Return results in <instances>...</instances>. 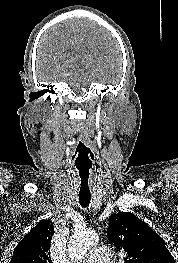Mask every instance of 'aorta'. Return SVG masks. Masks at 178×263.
I'll use <instances>...</instances> for the list:
<instances>
[{"label":"aorta","instance_id":"762f6f07","mask_svg":"<svg viewBox=\"0 0 178 263\" xmlns=\"http://www.w3.org/2000/svg\"><path fill=\"white\" fill-rule=\"evenodd\" d=\"M99 241L93 230H76L69 240L68 253L73 262L80 261L85 254Z\"/></svg>","mask_w":178,"mask_h":263}]
</instances>
